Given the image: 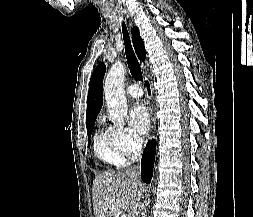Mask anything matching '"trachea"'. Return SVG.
<instances>
[{"label":"trachea","instance_id":"obj_1","mask_svg":"<svg viewBox=\"0 0 253 217\" xmlns=\"http://www.w3.org/2000/svg\"><path fill=\"white\" fill-rule=\"evenodd\" d=\"M122 30H123V39H124V45H125V54H126L131 75L135 80L142 81L143 76H142L141 68L135 56V53L133 51L129 33L124 23H122Z\"/></svg>","mask_w":253,"mask_h":217}]
</instances>
